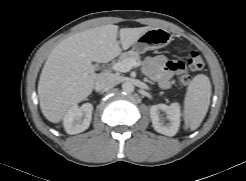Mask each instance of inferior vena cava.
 Here are the masks:
<instances>
[{
    "mask_svg": "<svg viewBox=\"0 0 246 181\" xmlns=\"http://www.w3.org/2000/svg\"><path fill=\"white\" fill-rule=\"evenodd\" d=\"M116 83V78L109 73H101L98 75L96 81H95V90L96 91H102L106 88H109Z\"/></svg>",
    "mask_w": 246,
    "mask_h": 181,
    "instance_id": "602c4592",
    "label": "inferior vena cava"
}]
</instances>
